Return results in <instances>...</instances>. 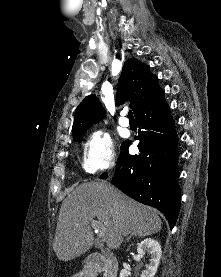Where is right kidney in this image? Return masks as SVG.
Wrapping results in <instances>:
<instances>
[{"mask_svg":"<svg viewBox=\"0 0 221 277\" xmlns=\"http://www.w3.org/2000/svg\"><path fill=\"white\" fill-rule=\"evenodd\" d=\"M137 253L139 257H144L145 253L150 255L149 264L146 266V270L142 272L141 277H154L157 272V268L161 258V246L157 240L152 238H146L137 247ZM131 268L125 267L121 270L119 277H130Z\"/></svg>","mask_w":221,"mask_h":277,"instance_id":"right-kidney-1","label":"right kidney"}]
</instances>
